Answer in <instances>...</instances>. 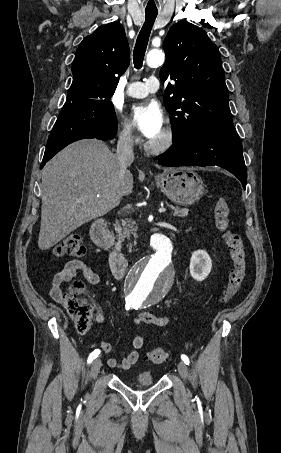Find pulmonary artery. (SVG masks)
<instances>
[{"instance_id": "e3ab8cb5", "label": "pulmonary artery", "mask_w": 281, "mask_h": 453, "mask_svg": "<svg viewBox=\"0 0 281 453\" xmlns=\"http://www.w3.org/2000/svg\"><path fill=\"white\" fill-rule=\"evenodd\" d=\"M159 88V80L155 77H149L146 82H133L128 85L126 93L130 97L141 98Z\"/></svg>"}]
</instances>
